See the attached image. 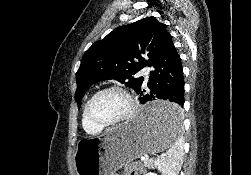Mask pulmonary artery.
Listing matches in <instances>:
<instances>
[{"label": "pulmonary artery", "mask_w": 251, "mask_h": 175, "mask_svg": "<svg viewBox=\"0 0 251 175\" xmlns=\"http://www.w3.org/2000/svg\"><path fill=\"white\" fill-rule=\"evenodd\" d=\"M147 70L145 71V74H141V79H148L149 77V71L148 70H154V65H147L145 67Z\"/></svg>", "instance_id": "obj_1"}]
</instances>
